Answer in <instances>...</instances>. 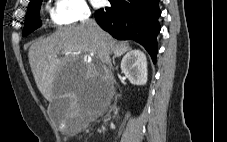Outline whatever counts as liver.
<instances>
[{
    "instance_id": "1",
    "label": "liver",
    "mask_w": 227,
    "mask_h": 142,
    "mask_svg": "<svg viewBox=\"0 0 227 142\" xmlns=\"http://www.w3.org/2000/svg\"><path fill=\"white\" fill-rule=\"evenodd\" d=\"M99 34L109 54L130 49L128 42H117L100 28ZM92 56L93 59L87 61ZM28 57L41 94L50 103L57 98H69L72 118L79 115L80 105L89 90L105 80L108 85L113 83L108 69H105L104 75L95 70L93 60L102 63L106 60L99 41L83 24L60 28L47 38L36 41L29 48ZM71 72L77 73V78H63V73ZM67 125L64 127L66 133L70 131V124Z\"/></svg>"
}]
</instances>
